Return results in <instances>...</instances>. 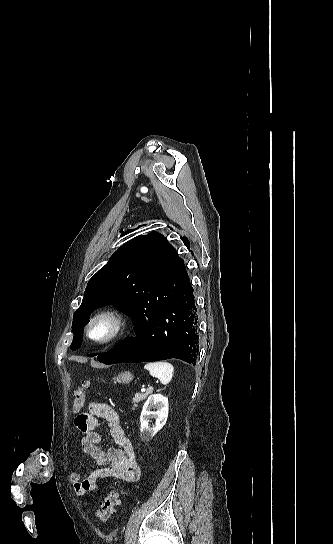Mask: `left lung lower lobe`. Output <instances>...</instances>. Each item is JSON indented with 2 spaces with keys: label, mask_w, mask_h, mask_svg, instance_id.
<instances>
[{
  "label": "left lung lower lobe",
  "mask_w": 333,
  "mask_h": 544,
  "mask_svg": "<svg viewBox=\"0 0 333 544\" xmlns=\"http://www.w3.org/2000/svg\"><path fill=\"white\" fill-rule=\"evenodd\" d=\"M194 289L188 282L176 299L153 319L134 325L135 338L97 359L105 364L178 358L195 364L199 350Z\"/></svg>",
  "instance_id": "1"
}]
</instances>
